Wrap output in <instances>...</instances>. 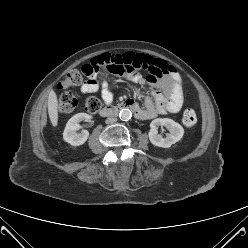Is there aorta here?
I'll list each match as a JSON object with an SVG mask.
<instances>
[{"mask_svg":"<svg viewBox=\"0 0 248 248\" xmlns=\"http://www.w3.org/2000/svg\"><path fill=\"white\" fill-rule=\"evenodd\" d=\"M119 117L123 121H127L132 117V112L129 109H122L119 113Z\"/></svg>","mask_w":248,"mask_h":248,"instance_id":"aorta-1","label":"aorta"}]
</instances>
